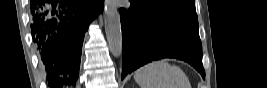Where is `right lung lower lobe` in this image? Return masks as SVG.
Wrapping results in <instances>:
<instances>
[{"label":"right lung lower lobe","instance_id":"obj_1","mask_svg":"<svg viewBox=\"0 0 267 88\" xmlns=\"http://www.w3.org/2000/svg\"><path fill=\"white\" fill-rule=\"evenodd\" d=\"M103 0H31V31L53 87L73 84L79 74L84 34Z\"/></svg>","mask_w":267,"mask_h":88}]
</instances>
